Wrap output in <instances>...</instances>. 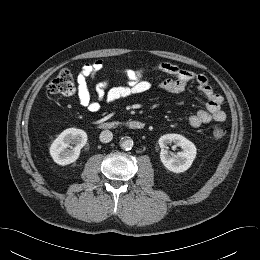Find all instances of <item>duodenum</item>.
Masks as SVG:
<instances>
[{"mask_svg":"<svg viewBox=\"0 0 260 260\" xmlns=\"http://www.w3.org/2000/svg\"><path fill=\"white\" fill-rule=\"evenodd\" d=\"M100 129H116L120 127H127L133 130H142L145 127V124L141 121H130L127 123H119L115 121H105L98 124Z\"/></svg>","mask_w":260,"mask_h":260,"instance_id":"1","label":"duodenum"}]
</instances>
